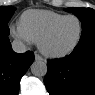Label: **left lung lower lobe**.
<instances>
[{"mask_svg":"<svg viewBox=\"0 0 95 95\" xmlns=\"http://www.w3.org/2000/svg\"><path fill=\"white\" fill-rule=\"evenodd\" d=\"M44 83L50 95H95V35L80 40L70 55L49 60Z\"/></svg>","mask_w":95,"mask_h":95,"instance_id":"1","label":"left lung lower lobe"}]
</instances>
